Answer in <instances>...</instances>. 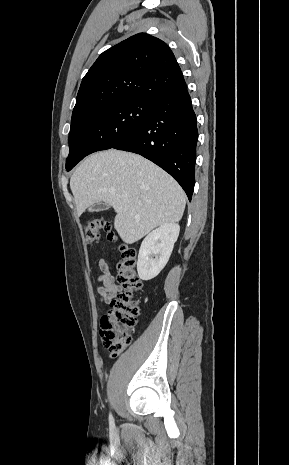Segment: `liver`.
Instances as JSON below:
<instances>
[{
  "label": "liver",
  "mask_w": 289,
  "mask_h": 465,
  "mask_svg": "<svg viewBox=\"0 0 289 465\" xmlns=\"http://www.w3.org/2000/svg\"><path fill=\"white\" fill-rule=\"evenodd\" d=\"M78 216L97 202L117 213L114 228L132 244L157 226L181 220L185 193L179 184L146 158L109 149L87 157L70 179Z\"/></svg>",
  "instance_id": "6515ba94"
}]
</instances>
